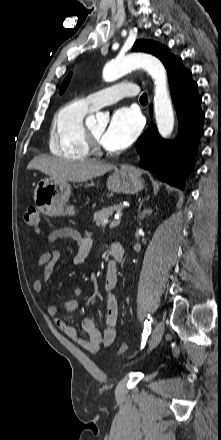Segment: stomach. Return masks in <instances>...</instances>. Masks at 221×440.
<instances>
[{
  "label": "stomach",
  "instance_id": "1",
  "mask_svg": "<svg viewBox=\"0 0 221 440\" xmlns=\"http://www.w3.org/2000/svg\"><path fill=\"white\" fill-rule=\"evenodd\" d=\"M106 185L113 192L134 194L144 188V181L132 167L123 166L115 168ZM70 195L71 185L67 181L48 177L38 181L33 198L40 212L53 217L75 213L74 207L67 205Z\"/></svg>",
  "mask_w": 221,
  "mask_h": 440
}]
</instances>
